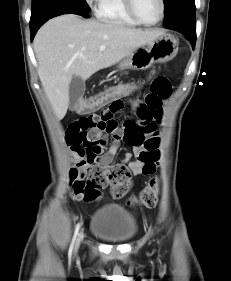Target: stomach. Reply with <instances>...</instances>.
<instances>
[{
    "label": "stomach",
    "mask_w": 231,
    "mask_h": 281,
    "mask_svg": "<svg viewBox=\"0 0 231 281\" xmlns=\"http://www.w3.org/2000/svg\"><path fill=\"white\" fill-rule=\"evenodd\" d=\"M178 52L176 39L163 34L125 57L120 63V69L144 70L154 63H165L172 60Z\"/></svg>",
    "instance_id": "1"
}]
</instances>
